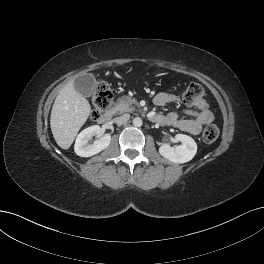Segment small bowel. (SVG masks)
<instances>
[{
	"instance_id": "1",
	"label": "small bowel",
	"mask_w": 264,
	"mask_h": 264,
	"mask_svg": "<svg viewBox=\"0 0 264 264\" xmlns=\"http://www.w3.org/2000/svg\"><path fill=\"white\" fill-rule=\"evenodd\" d=\"M178 98L169 93L161 92L154 97V104L163 107L170 103L177 102ZM182 115L188 118H181ZM157 123L180 129L193 135L201 132L203 126L210 124L214 116L210 110L195 111L185 109L182 112H170L167 115H157Z\"/></svg>"
}]
</instances>
